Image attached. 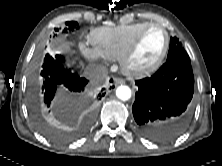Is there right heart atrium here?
I'll use <instances>...</instances> for the list:
<instances>
[{
  "label": "right heart atrium",
  "instance_id": "d8ad5b80",
  "mask_svg": "<svg viewBox=\"0 0 222 166\" xmlns=\"http://www.w3.org/2000/svg\"><path fill=\"white\" fill-rule=\"evenodd\" d=\"M81 50H82L83 54H84L87 58H89V59H91V60H97V59H99V56H100V55H99L95 50L89 48V47L86 46L85 44H82V45H81Z\"/></svg>",
  "mask_w": 222,
  "mask_h": 166
}]
</instances>
